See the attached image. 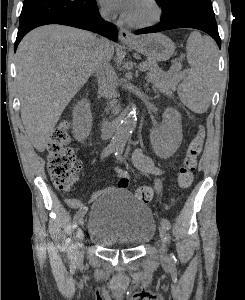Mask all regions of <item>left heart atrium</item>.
<instances>
[{"label": "left heart atrium", "instance_id": "obj_1", "mask_svg": "<svg viewBox=\"0 0 245 300\" xmlns=\"http://www.w3.org/2000/svg\"><path fill=\"white\" fill-rule=\"evenodd\" d=\"M137 0H101L102 4L116 12H120L124 19H128L131 8Z\"/></svg>", "mask_w": 245, "mask_h": 300}]
</instances>
